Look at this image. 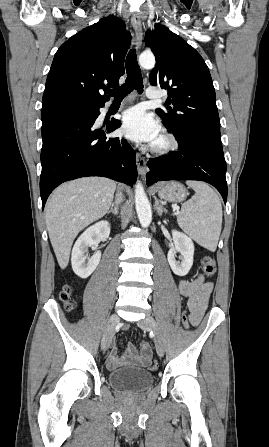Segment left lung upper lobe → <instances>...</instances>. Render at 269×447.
Masks as SVG:
<instances>
[{"mask_svg": "<svg viewBox=\"0 0 269 447\" xmlns=\"http://www.w3.org/2000/svg\"><path fill=\"white\" fill-rule=\"evenodd\" d=\"M145 42L156 56L151 85L167 89V111L157 109L165 127L181 142L197 135L221 139L215 90L200 54L167 27L156 24Z\"/></svg>", "mask_w": 269, "mask_h": 447, "instance_id": "left-lung-upper-lobe-1", "label": "left lung upper lobe"}]
</instances>
